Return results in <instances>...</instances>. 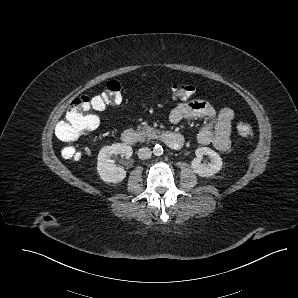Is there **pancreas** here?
<instances>
[{
  "instance_id": "cf45deb5",
  "label": "pancreas",
  "mask_w": 298,
  "mask_h": 298,
  "mask_svg": "<svg viewBox=\"0 0 298 298\" xmlns=\"http://www.w3.org/2000/svg\"><path fill=\"white\" fill-rule=\"evenodd\" d=\"M136 131L138 134H140L144 137H147L149 133L151 134L152 132H156V129H154L150 126L144 125V126H138Z\"/></svg>"
}]
</instances>
